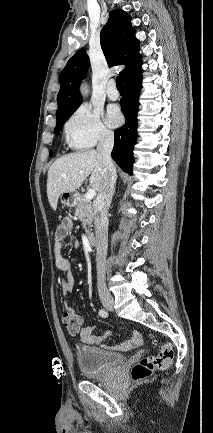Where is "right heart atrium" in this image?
I'll return each instance as SVG.
<instances>
[{
  "mask_svg": "<svg viewBox=\"0 0 213 433\" xmlns=\"http://www.w3.org/2000/svg\"><path fill=\"white\" fill-rule=\"evenodd\" d=\"M66 139L75 149H87L113 138V132L103 122L100 111L90 105L79 106L64 125Z\"/></svg>",
  "mask_w": 213,
  "mask_h": 433,
  "instance_id": "right-heart-atrium-1",
  "label": "right heart atrium"
}]
</instances>
